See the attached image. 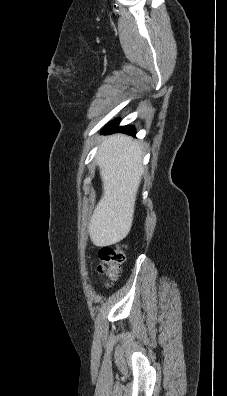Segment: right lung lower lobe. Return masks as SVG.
Returning a JSON list of instances; mask_svg holds the SVG:
<instances>
[{
    "instance_id": "obj_1",
    "label": "right lung lower lobe",
    "mask_w": 227,
    "mask_h": 396,
    "mask_svg": "<svg viewBox=\"0 0 227 396\" xmlns=\"http://www.w3.org/2000/svg\"><path fill=\"white\" fill-rule=\"evenodd\" d=\"M118 124H119V120H115V121L111 122L103 129V133L107 134V133H113V132H122V133H126L129 135L136 134L135 128L133 126L128 125V126L119 127Z\"/></svg>"
}]
</instances>
